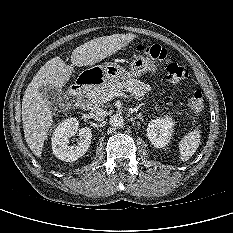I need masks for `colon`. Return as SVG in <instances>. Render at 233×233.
<instances>
[{
	"mask_svg": "<svg viewBox=\"0 0 233 233\" xmlns=\"http://www.w3.org/2000/svg\"><path fill=\"white\" fill-rule=\"evenodd\" d=\"M136 49L148 54L154 59L165 60L167 58L166 49L157 44L150 46L139 44L136 46ZM165 74L167 80L171 83H180L189 78L188 70L184 66L171 60H166L165 62ZM188 107L195 114H199L202 111L204 107V97L199 88H195L192 91L188 100Z\"/></svg>",
	"mask_w": 233,
	"mask_h": 233,
	"instance_id": "1",
	"label": "colon"
}]
</instances>
